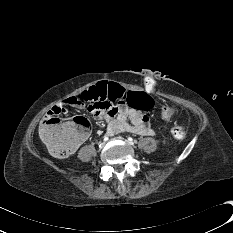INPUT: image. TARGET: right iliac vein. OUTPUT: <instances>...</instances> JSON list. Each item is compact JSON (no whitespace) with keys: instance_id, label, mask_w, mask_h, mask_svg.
<instances>
[{"instance_id":"1","label":"right iliac vein","mask_w":233,"mask_h":233,"mask_svg":"<svg viewBox=\"0 0 233 233\" xmlns=\"http://www.w3.org/2000/svg\"><path fill=\"white\" fill-rule=\"evenodd\" d=\"M99 147L100 148H104L105 147V143L104 142L100 143Z\"/></svg>"}]
</instances>
